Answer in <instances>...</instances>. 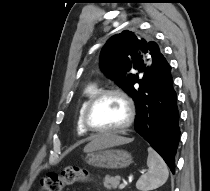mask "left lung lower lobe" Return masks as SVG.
Listing matches in <instances>:
<instances>
[{
    "label": "left lung lower lobe",
    "mask_w": 210,
    "mask_h": 191,
    "mask_svg": "<svg viewBox=\"0 0 210 191\" xmlns=\"http://www.w3.org/2000/svg\"><path fill=\"white\" fill-rule=\"evenodd\" d=\"M136 111V132L160 154L174 174L180 128L177 96L167 61L152 76L149 88L139 97Z\"/></svg>",
    "instance_id": "0a47b994"
}]
</instances>
